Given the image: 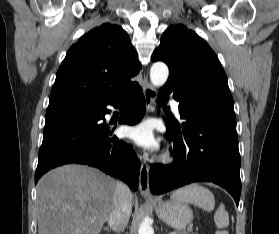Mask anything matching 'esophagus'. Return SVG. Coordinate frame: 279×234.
<instances>
[{"instance_id":"1","label":"esophagus","mask_w":279,"mask_h":234,"mask_svg":"<svg viewBox=\"0 0 279 234\" xmlns=\"http://www.w3.org/2000/svg\"><path fill=\"white\" fill-rule=\"evenodd\" d=\"M143 93L145 97V105L147 112L149 113L154 109L157 91L156 89L148 82L147 77L144 76V85ZM139 190L143 197L150 199V187H149V166L146 161H143L140 168L139 174Z\"/></svg>"}]
</instances>
